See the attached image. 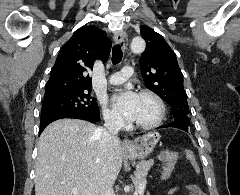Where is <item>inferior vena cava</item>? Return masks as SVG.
Returning a JSON list of instances; mask_svg holds the SVG:
<instances>
[{
    "mask_svg": "<svg viewBox=\"0 0 240 195\" xmlns=\"http://www.w3.org/2000/svg\"><path fill=\"white\" fill-rule=\"evenodd\" d=\"M104 127H97L95 133L99 137V145H106L109 141H119L118 131L122 127L120 117L114 113H104ZM100 195H115L111 185H105Z\"/></svg>",
    "mask_w": 240,
    "mask_h": 195,
    "instance_id": "602c4592",
    "label": "inferior vena cava"
}]
</instances>
